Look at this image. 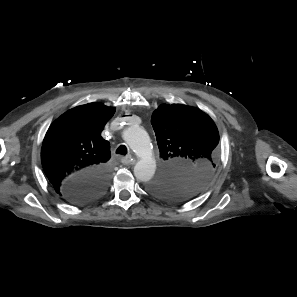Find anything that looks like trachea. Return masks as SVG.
Listing matches in <instances>:
<instances>
[{
  "label": "trachea",
  "instance_id": "1",
  "mask_svg": "<svg viewBox=\"0 0 297 297\" xmlns=\"http://www.w3.org/2000/svg\"><path fill=\"white\" fill-rule=\"evenodd\" d=\"M117 154H121V155H126L127 154V148L125 145H121L118 147V149L116 150Z\"/></svg>",
  "mask_w": 297,
  "mask_h": 297
}]
</instances>
